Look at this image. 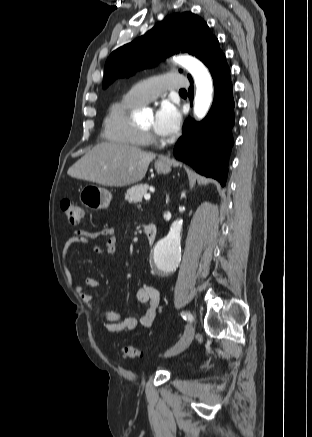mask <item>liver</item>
<instances>
[{"label": "liver", "mask_w": 312, "mask_h": 437, "mask_svg": "<svg viewBox=\"0 0 312 437\" xmlns=\"http://www.w3.org/2000/svg\"><path fill=\"white\" fill-rule=\"evenodd\" d=\"M155 157L127 144L102 142L70 167L68 175L104 186H128L144 178Z\"/></svg>", "instance_id": "liver-1"}]
</instances>
